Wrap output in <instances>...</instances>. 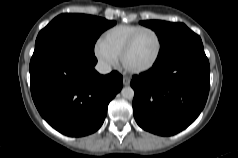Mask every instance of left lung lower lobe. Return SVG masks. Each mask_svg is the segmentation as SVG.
Returning <instances> with one entry per match:
<instances>
[{"instance_id": "0a47b994", "label": "left lung lower lobe", "mask_w": 238, "mask_h": 158, "mask_svg": "<svg viewBox=\"0 0 238 158\" xmlns=\"http://www.w3.org/2000/svg\"><path fill=\"white\" fill-rule=\"evenodd\" d=\"M137 124L154 134L174 135L201 113L210 86L209 61L202 41L178 48L133 77Z\"/></svg>"}]
</instances>
